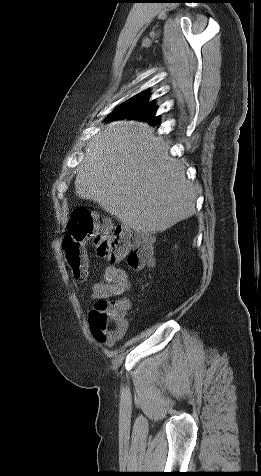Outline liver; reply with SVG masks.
Here are the masks:
<instances>
[{"mask_svg": "<svg viewBox=\"0 0 261 476\" xmlns=\"http://www.w3.org/2000/svg\"><path fill=\"white\" fill-rule=\"evenodd\" d=\"M154 128L133 120L102 126L77 167L76 193L136 232L156 233L195 213L197 192Z\"/></svg>", "mask_w": 261, "mask_h": 476, "instance_id": "obj_1", "label": "liver"}]
</instances>
